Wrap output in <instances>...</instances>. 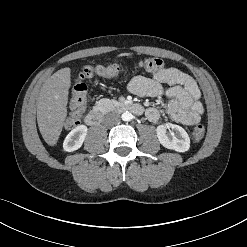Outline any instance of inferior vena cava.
<instances>
[{"instance_id": "602c4592", "label": "inferior vena cava", "mask_w": 247, "mask_h": 247, "mask_svg": "<svg viewBox=\"0 0 247 247\" xmlns=\"http://www.w3.org/2000/svg\"><path fill=\"white\" fill-rule=\"evenodd\" d=\"M120 121V116L115 113H110L105 116L104 122L109 125L116 124Z\"/></svg>"}]
</instances>
